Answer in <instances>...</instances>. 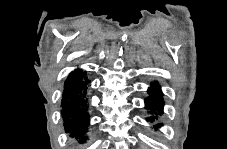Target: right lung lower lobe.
<instances>
[{"label":"right lung lower lobe","instance_id":"obj_1","mask_svg":"<svg viewBox=\"0 0 227 149\" xmlns=\"http://www.w3.org/2000/svg\"><path fill=\"white\" fill-rule=\"evenodd\" d=\"M90 80L86 72L76 69L69 74L64 82L61 114L65 132L78 139L79 143L86 140L89 126L88 86Z\"/></svg>","mask_w":227,"mask_h":149}]
</instances>
